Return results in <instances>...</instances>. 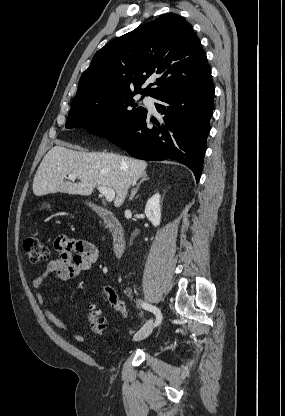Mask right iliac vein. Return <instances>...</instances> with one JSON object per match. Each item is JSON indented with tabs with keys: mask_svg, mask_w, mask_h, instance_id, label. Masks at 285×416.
Wrapping results in <instances>:
<instances>
[{
	"mask_svg": "<svg viewBox=\"0 0 285 416\" xmlns=\"http://www.w3.org/2000/svg\"><path fill=\"white\" fill-rule=\"evenodd\" d=\"M153 330L152 321H148L135 335L134 340H143L148 337Z\"/></svg>",
	"mask_w": 285,
	"mask_h": 416,
	"instance_id": "obj_1",
	"label": "right iliac vein"
}]
</instances>
